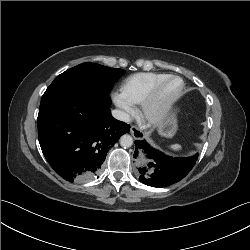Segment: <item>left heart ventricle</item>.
<instances>
[{"mask_svg":"<svg viewBox=\"0 0 250 250\" xmlns=\"http://www.w3.org/2000/svg\"><path fill=\"white\" fill-rule=\"evenodd\" d=\"M181 82L179 80H172L168 82L161 91L159 97V105L163 104L167 101L170 97H172L180 88Z\"/></svg>","mask_w":250,"mask_h":250,"instance_id":"1","label":"left heart ventricle"}]
</instances>
